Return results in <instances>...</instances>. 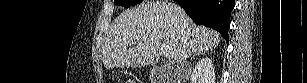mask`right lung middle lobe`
Here are the masks:
<instances>
[{
	"label": "right lung middle lobe",
	"instance_id": "obj_1",
	"mask_svg": "<svg viewBox=\"0 0 307 83\" xmlns=\"http://www.w3.org/2000/svg\"><path fill=\"white\" fill-rule=\"evenodd\" d=\"M141 1L142 0H115V4L122 7H130L140 3Z\"/></svg>",
	"mask_w": 307,
	"mask_h": 83
}]
</instances>
